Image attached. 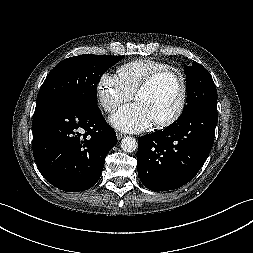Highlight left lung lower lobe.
I'll return each mask as SVG.
<instances>
[{
  "mask_svg": "<svg viewBox=\"0 0 253 253\" xmlns=\"http://www.w3.org/2000/svg\"><path fill=\"white\" fill-rule=\"evenodd\" d=\"M217 121V109L201 107L164 130L140 137L141 182L152 191H167L192 180L211 151Z\"/></svg>",
  "mask_w": 253,
  "mask_h": 253,
  "instance_id": "1",
  "label": "left lung lower lobe"
}]
</instances>
